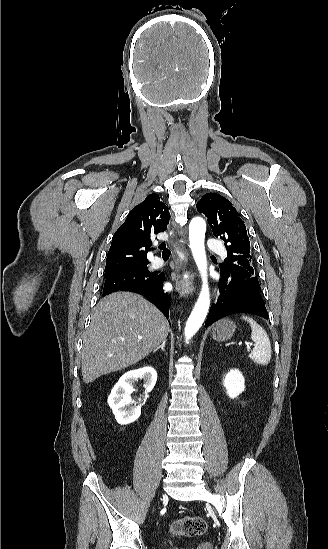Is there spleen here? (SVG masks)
<instances>
[{"label": "spleen", "mask_w": 328, "mask_h": 549, "mask_svg": "<svg viewBox=\"0 0 328 549\" xmlns=\"http://www.w3.org/2000/svg\"><path fill=\"white\" fill-rule=\"evenodd\" d=\"M241 319L249 323L252 331L251 339L256 344V347H254L249 355L250 359L254 363H257V365H268L271 359V345L266 331L254 319H250V317L242 315Z\"/></svg>", "instance_id": "obj_1"}]
</instances>
